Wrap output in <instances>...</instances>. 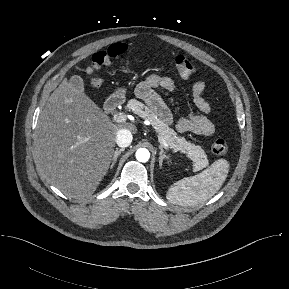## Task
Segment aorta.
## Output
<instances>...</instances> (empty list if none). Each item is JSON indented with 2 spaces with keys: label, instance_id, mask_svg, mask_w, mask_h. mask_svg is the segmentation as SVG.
Returning <instances> with one entry per match:
<instances>
[{
  "label": "aorta",
  "instance_id": "1",
  "mask_svg": "<svg viewBox=\"0 0 289 289\" xmlns=\"http://www.w3.org/2000/svg\"><path fill=\"white\" fill-rule=\"evenodd\" d=\"M150 158V152L146 148H139L136 151V159L139 162H147Z\"/></svg>",
  "mask_w": 289,
  "mask_h": 289
}]
</instances>
